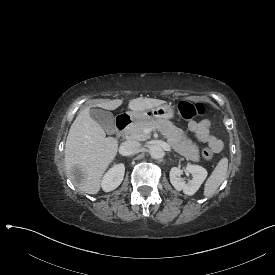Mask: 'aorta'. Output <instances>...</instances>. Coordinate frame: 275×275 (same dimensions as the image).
Wrapping results in <instances>:
<instances>
[{"mask_svg": "<svg viewBox=\"0 0 275 275\" xmlns=\"http://www.w3.org/2000/svg\"><path fill=\"white\" fill-rule=\"evenodd\" d=\"M149 155L153 159L158 160L164 156V152H163V149L159 145H152L149 149Z\"/></svg>", "mask_w": 275, "mask_h": 275, "instance_id": "aorta-1", "label": "aorta"}]
</instances>
